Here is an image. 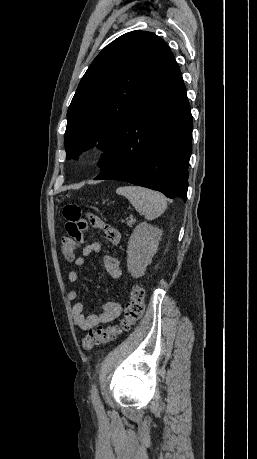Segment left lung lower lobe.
<instances>
[{
	"mask_svg": "<svg viewBox=\"0 0 257 459\" xmlns=\"http://www.w3.org/2000/svg\"><path fill=\"white\" fill-rule=\"evenodd\" d=\"M192 116L173 53L120 126L113 153L95 180H119L186 201Z\"/></svg>",
	"mask_w": 257,
	"mask_h": 459,
	"instance_id": "1",
	"label": "left lung lower lobe"
}]
</instances>
